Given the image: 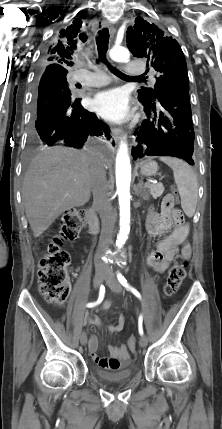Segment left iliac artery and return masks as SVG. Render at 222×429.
Wrapping results in <instances>:
<instances>
[{
  "label": "left iliac artery",
  "mask_w": 222,
  "mask_h": 429,
  "mask_svg": "<svg viewBox=\"0 0 222 429\" xmlns=\"http://www.w3.org/2000/svg\"><path fill=\"white\" fill-rule=\"evenodd\" d=\"M117 278H118V281L122 284V286H124L128 291H131L137 298L141 299L140 293L135 288L131 287L128 284L127 280L121 273L119 272L117 273ZM142 323H143V317L142 315H140L138 319V330L140 335H143Z\"/></svg>",
  "instance_id": "44dca946"
}]
</instances>
